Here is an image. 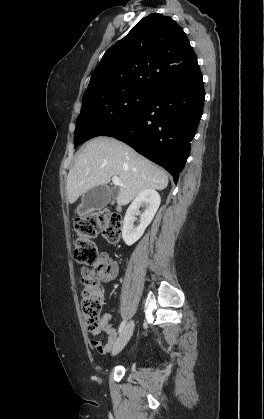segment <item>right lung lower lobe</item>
I'll list each match as a JSON object with an SVG mask.
<instances>
[{"mask_svg": "<svg viewBox=\"0 0 264 419\" xmlns=\"http://www.w3.org/2000/svg\"><path fill=\"white\" fill-rule=\"evenodd\" d=\"M202 75L193 82L154 90L130 117L105 131L165 168L176 183L203 112Z\"/></svg>", "mask_w": 264, "mask_h": 419, "instance_id": "98d812e1", "label": "right lung lower lobe"}]
</instances>
